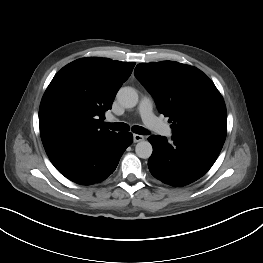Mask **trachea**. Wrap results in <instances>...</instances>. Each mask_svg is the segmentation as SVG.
Returning a JSON list of instances; mask_svg holds the SVG:
<instances>
[{
	"instance_id": "trachea-1",
	"label": "trachea",
	"mask_w": 263,
	"mask_h": 263,
	"mask_svg": "<svg viewBox=\"0 0 263 263\" xmlns=\"http://www.w3.org/2000/svg\"><path fill=\"white\" fill-rule=\"evenodd\" d=\"M106 126L113 131H128L129 125L126 123H106ZM132 131L139 135H148L149 132L141 126H133Z\"/></svg>"
}]
</instances>
